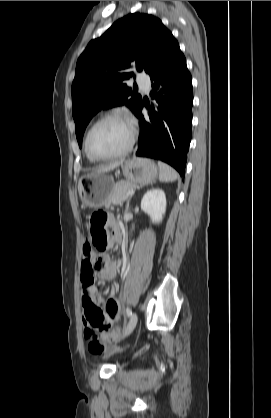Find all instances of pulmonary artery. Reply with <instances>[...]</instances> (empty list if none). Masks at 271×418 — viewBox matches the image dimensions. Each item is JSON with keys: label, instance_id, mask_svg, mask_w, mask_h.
I'll list each match as a JSON object with an SVG mask.
<instances>
[{"label": "pulmonary artery", "instance_id": "pulmonary-artery-1", "mask_svg": "<svg viewBox=\"0 0 271 418\" xmlns=\"http://www.w3.org/2000/svg\"><path fill=\"white\" fill-rule=\"evenodd\" d=\"M137 83L140 85V87L145 91H149L150 87V78L146 75H140L137 78Z\"/></svg>", "mask_w": 271, "mask_h": 418}]
</instances>
